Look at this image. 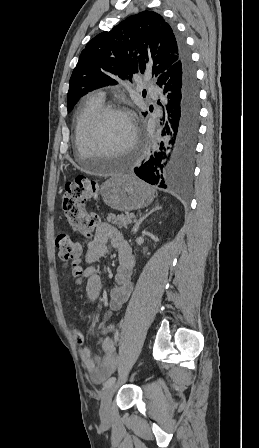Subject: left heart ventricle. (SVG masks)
Masks as SVG:
<instances>
[{
	"mask_svg": "<svg viewBox=\"0 0 259 448\" xmlns=\"http://www.w3.org/2000/svg\"><path fill=\"white\" fill-rule=\"evenodd\" d=\"M131 138L132 127L127 119L120 115L106 117L95 133V141L103 149H84L83 163L121 154L129 146Z\"/></svg>",
	"mask_w": 259,
	"mask_h": 448,
	"instance_id": "b2bd125f",
	"label": "left heart ventricle"
}]
</instances>
